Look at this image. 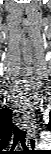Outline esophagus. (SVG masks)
Returning a JSON list of instances; mask_svg holds the SVG:
<instances>
[{
  "label": "esophagus",
  "instance_id": "esophagus-1",
  "mask_svg": "<svg viewBox=\"0 0 51 154\" xmlns=\"http://www.w3.org/2000/svg\"><path fill=\"white\" fill-rule=\"evenodd\" d=\"M23 119L25 120V122L27 123V144L29 147L36 145L37 144V139L35 137V132L32 131L30 125H28L29 120H30V116L28 115V112L24 111V115H23Z\"/></svg>",
  "mask_w": 51,
  "mask_h": 154
}]
</instances>
